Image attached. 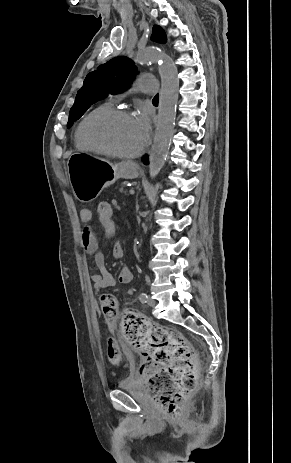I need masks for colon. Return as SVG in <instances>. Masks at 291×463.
<instances>
[{
    "label": "colon",
    "mask_w": 291,
    "mask_h": 463,
    "mask_svg": "<svg viewBox=\"0 0 291 463\" xmlns=\"http://www.w3.org/2000/svg\"><path fill=\"white\" fill-rule=\"evenodd\" d=\"M93 215L98 218L99 226L114 224L111 202L98 200ZM100 307L106 321L114 323L119 316L116 299L103 294ZM121 329L126 340L143 356L140 371L147 380L149 394L167 415L179 418L196 385L197 369L191 346L179 331L130 312L123 315ZM107 354L112 364L121 361V351L114 339L109 340Z\"/></svg>",
    "instance_id": "colon-1"
}]
</instances>
